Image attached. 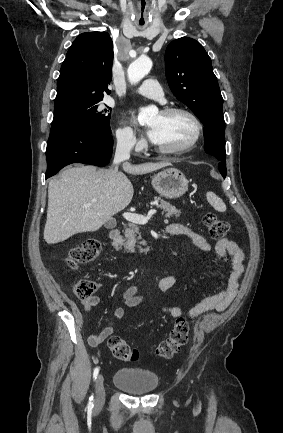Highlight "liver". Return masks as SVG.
I'll return each instance as SVG.
<instances>
[{
	"mask_svg": "<svg viewBox=\"0 0 283 433\" xmlns=\"http://www.w3.org/2000/svg\"><path fill=\"white\" fill-rule=\"evenodd\" d=\"M168 164L171 162H123L122 168L130 174H146ZM133 192V184L124 172H118V166L97 170V166L79 164L63 170L61 178H51L48 186L46 243L98 231L131 202Z\"/></svg>",
	"mask_w": 283,
	"mask_h": 433,
	"instance_id": "liver-1",
	"label": "liver"
}]
</instances>
